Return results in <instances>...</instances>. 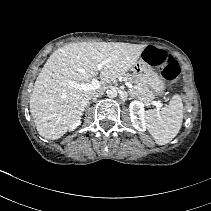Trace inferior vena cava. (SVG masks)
I'll return each instance as SVG.
<instances>
[{
    "label": "inferior vena cava",
    "mask_w": 211,
    "mask_h": 211,
    "mask_svg": "<svg viewBox=\"0 0 211 211\" xmlns=\"http://www.w3.org/2000/svg\"><path fill=\"white\" fill-rule=\"evenodd\" d=\"M104 94V91L102 90H97L95 91L92 95H91V98H97V97H100L101 95Z\"/></svg>",
    "instance_id": "1"
}]
</instances>
